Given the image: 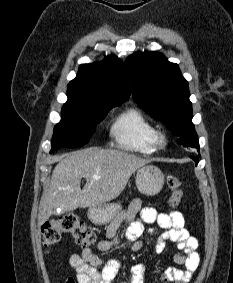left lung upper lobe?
Returning a JSON list of instances; mask_svg holds the SVG:
<instances>
[{
  "label": "left lung upper lobe",
  "mask_w": 233,
  "mask_h": 283,
  "mask_svg": "<svg viewBox=\"0 0 233 283\" xmlns=\"http://www.w3.org/2000/svg\"><path fill=\"white\" fill-rule=\"evenodd\" d=\"M126 66L135 102L180 136V144L199 150L188 82L178 65L161 53L135 52L126 59Z\"/></svg>",
  "instance_id": "left-lung-upper-lobe-1"
}]
</instances>
